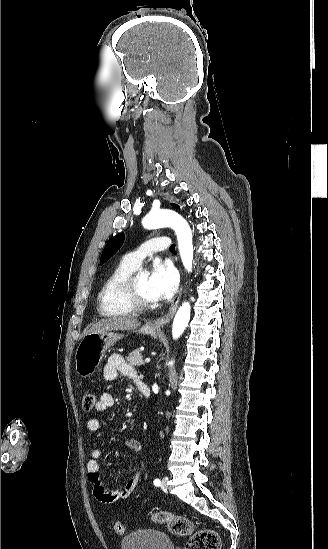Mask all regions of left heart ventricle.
<instances>
[{
  "mask_svg": "<svg viewBox=\"0 0 328 549\" xmlns=\"http://www.w3.org/2000/svg\"><path fill=\"white\" fill-rule=\"evenodd\" d=\"M150 274L146 271L144 272L137 281V292L139 296L148 301H154L150 295Z\"/></svg>",
  "mask_w": 328,
  "mask_h": 549,
  "instance_id": "obj_1",
  "label": "left heart ventricle"
}]
</instances>
